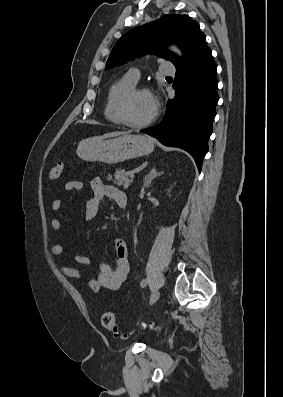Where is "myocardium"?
Wrapping results in <instances>:
<instances>
[{"label": "myocardium", "mask_w": 283, "mask_h": 397, "mask_svg": "<svg viewBox=\"0 0 283 397\" xmlns=\"http://www.w3.org/2000/svg\"><path fill=\"white\" fill-rule=\"evenodd\" d=\"M140 93L148 94L154 100L155 110H154V113L152 114V116L150 118H148L147 120L140 122V123H135L128 119L127 107H128L129 102L136 95H138ZM117 114H118L121 124H123L127 127H130V128L139 129V128H143V127L150 125L151 123H153L156 120V118L158 116V104H157V101H156L153 93L148 88L142 87V86H134L133 88H131L130 90L125 92L120 97V99L117 103Z\"/></svg>", "instance_id": "f54148a6"}]
</instances>
